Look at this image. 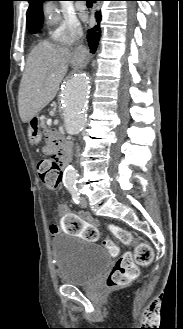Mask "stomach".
<instances>
[{
    "label": "stomach",
    "instance_id": "stomach-1",
    "mask_svg": "<svg viewBox=\"0 0 183 329\" xmlns=\"http://www.w3.org/2000/svg\"><path fill=\"white\" fill-rule=\"evenodd\" d=\"M28 136L32 144L39 143L42 137L41 132L38 130V128L32 125H29Z\"/></svg>",
    "mask_w": 183,
    "mask_h": 329
}]
</instances>
